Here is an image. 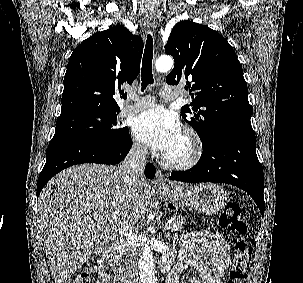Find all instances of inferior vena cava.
Returning a JSON list of instances; mask_svg holds the SVG:
<instances>
[{
	"label": "inferior vena cava",
	"instance_id": "1",
	"mask_svg": "<svg viewBox=\"0 0 303 283\" xmlns=\"http://www.w3.org/2000/svg\"><path fill=\"white\" fill-rule=\"evenodd\" d=\"M148 150L143 145H136L132 147L128 155L122 162L120 168L125 172V183L131 189L133 183L138 177H143L146 165V156ZM132 235V224L125 222L120 231V245L125 252V270L126 283H140L138 276V266L136 249L129 245V239Z\"/></svg>",
	"mask_w": 303,
	"mask_h": 283
}]
</instances>
